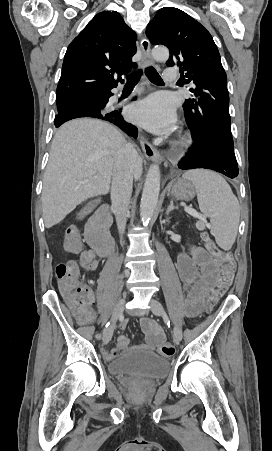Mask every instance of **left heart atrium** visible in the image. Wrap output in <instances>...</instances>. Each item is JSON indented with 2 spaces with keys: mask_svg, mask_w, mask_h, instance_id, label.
<instances>
[{
  "mask_svg": "<svg viewBox=\"0 0 272 451\" xmlns=\"http://www.w3.org/2000/svg\"><path fill=\"white\" fill-rule=\"evenodd\" d=\"M128 115L133 121L156 133L168 131L175 122L173 104L162 95L151 96L133 105Z\"/></svg>",
  "mask_w": 272,
  "mask_h": 451,
  "instance_id": "39dd6f15",
  "label": "left heart atrium"
}]
</instances>
